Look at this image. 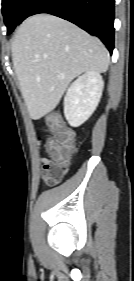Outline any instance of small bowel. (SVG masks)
Instances as JSON below:
<instances>
[{"instance_id":"small-bowel-1","label":"small bowel","mask_w":134,"mask_h":281,"mask_svg":"<svg viewBox=\"0 0 134 281\" xmlns=\"http://www.w3.org/2000/svg\"><path fill=\"white\" fill-rule=\"evenodd\" d=\"M42 178L46 185H56L60 183L65 175V170L54 160L40 157Z\"/></svg>"}]
</instances>
